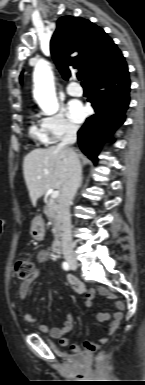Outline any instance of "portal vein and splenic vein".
<instances>
[{"mask_svg":"<svg viewBox=\"0 0 145 385\" xmlns=\"http://www.w3.org/2000/svg\"><path fill=\"white\" fill-rule=\"evenodd\" d=\"M38 178H40V177H38ZM58 196H59V191L58 190L53 191L52 194H51V198H53V199L58 198Z\"/></svg>","mask_w":145,"mask_h":385,"instance_id":"obj_1","label":"portal vein and splenic vein"}]
</instances>
